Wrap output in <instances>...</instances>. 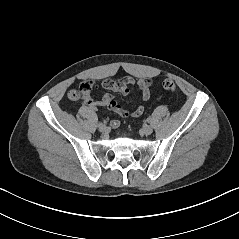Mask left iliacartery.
I'll return each mask as SVG.
<instances>
[{"label":"left iliac artery","instance_id":"1","mask_svg":"<svg viewBox=\"0 0 239 239\" xmlns=\"http://www.w3.org/2000/svg\"><path fill=\"white\" fill-rule=\"evenodd\" d=\"M147 122L150 123L151 122V118H147Z\"/></svg>","mask_w":239,"mask_h":239}]
</instances>
